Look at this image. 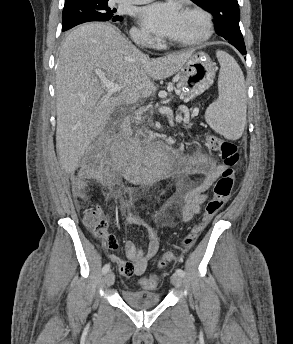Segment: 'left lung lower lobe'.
<instances>
[{
	"instance_id": "0a47b994",
	"label": "left lung lower lobe",
	"mask_w": 293,
	"mask_h": 344,
	"mask_svg": "<svg viewBox=\"0 0 293 344\" xmlns=\"http://www.w3.org/2000/svg\"><path fill=\"white\" fill-rule=\"evenodd\" d=\"M240 52L241 54H246V48L245 45H234Z\"/></svg>"
}]
</instances>
